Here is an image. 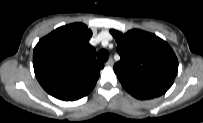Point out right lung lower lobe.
Instances as JSON below:
<instances>
[{
  "instance_id": "98d812e1",
  "label": "right lung lower lobe",
  "mask_w": 203,
  "mask_h": 123,
  "mask_svg": "<svg viewBox=\"0 0 203 123\" xmlns=\"http://www.w3.org/2000/svg\"><path fill=\"white\" fill-rule=\"evenodd\" d=\"M85 96V95H84ZM82 96V97H84ZM82 97H79V98H82ZM79 98H76V99H70V100H66V101H73V100H78Z\"/></svg>"
}]
</instances>
